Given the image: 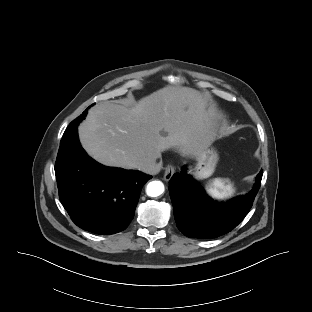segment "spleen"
<instances>
[{
	"mask_svg": "<svg viewBox=\"0 0 312 312\" xmlns=\"http://www.w3.org/2000/svg\"><path fill=\"white\" fill-rule=\"evenodd\" d=\"M207 193L216 199H225L235 192L233 184L228 179L216 178L206 185Z\"/></svg>",
	"mask_w": 312,
	"mask_h": 312,
	"instance_id": "obj_1",
	"label": "spleen"
}]
</instances>
